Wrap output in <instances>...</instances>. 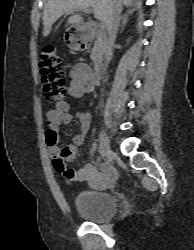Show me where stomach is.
I'll return each mask as SVG.
<instances>
[{"label": "stomach", "mask_w": 194, "mask_h": 250, "mask_svg": "<svg viewBox=\"0 0 194 250\" xmlns=\"http://www.w3.org/2000/svg\"><path fill=\"white\" fill-rule=\"evenodd\" d=\"M75 29L78 35L69 34V36H66V40L70 42L74 50H82L81 44L77 42L81 39H86L85 28L82 25H76Z\"/></svg>", "instance_id": "0dacf381"}]
</instances>
